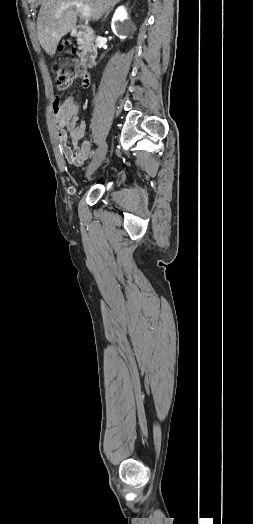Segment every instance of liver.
I'll list each match as a JSON object with an SVG mask.
<instances>
[{"label":"liver","mask_w":253,"mask_h":524,"mask_svg":"<svg viewBox=\"0 0 253 524\" xmlns=\"http://www.w3.org/2000/svg\"><path fill=\"white\" fill-rule=\"evenodd\" d=\"M120 0H42L37 18V35L42 48L54 55L61 38L77 23L79 11L75 6L61 10L63 4L83 3L90 7L93 21L99 18Z\"/></svg>","instance_id":"obj_1"}]
</instances>
